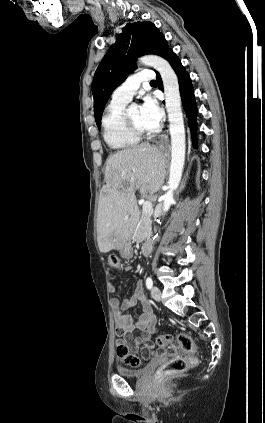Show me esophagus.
I'll return each instance as SVG.
<instances>
[{
  "instance_id": "1",
  "label": "esophagus",
  "mask_w": 265,
  "mask_h": 423,
  "mask_svg": "<svg viewBox=\"0 0 265 423\" xmlns=\"http://www.w3.org/2000/svg\"><path fill=\"white\" fill-rule=\"evenodd\" d=\"M168 141H169L168 136L166 134H164L160 137L158 143H159V145H161L163 147V146H166L168 144Z\"/></svg>"
}]
</instances>
